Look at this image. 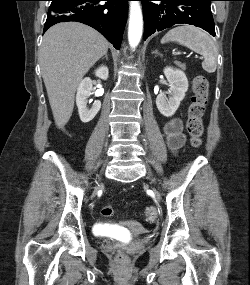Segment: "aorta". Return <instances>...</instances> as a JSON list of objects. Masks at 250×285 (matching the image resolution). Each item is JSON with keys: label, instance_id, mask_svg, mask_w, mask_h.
Returning a JSON list of instances; mask_svg holds the SVG:
<instances>
[{"label": "aorta", "instance_id": "aorta-1", "mask_svg": "<svg viewBox=\"0 0 250 285\" xmlns=\"http://www.w3.org/2000/svg\"><path fill=\"white\" fill-rule=\"evenodd\" d=\"M143 31V17L139 1L130 2L128 40L132 48L139 44Z\"/></svg>", "mask_w": 250, "mask_h": 285}]
</instances>
